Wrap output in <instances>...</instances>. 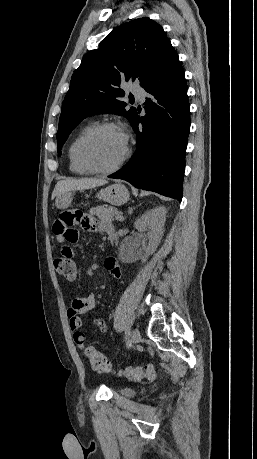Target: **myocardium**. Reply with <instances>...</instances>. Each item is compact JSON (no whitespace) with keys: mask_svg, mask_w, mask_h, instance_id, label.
Returning a JSON list of instances; mask_svg holds the SVG:
<instances>
[{"mask_svg":"<svg viewBox=\"0 0 257 459\" xmlns=\"http://www.w3.org/2000/svg\"><path fill=\"white\" fill-rule=\"evenodd\" d=\"M105 129H116L121 131V128L119 125L113 122H101L98 124H95L91 126L79 139L77 146H76V158L79 162V164L86 170L92 173H101V174H109L112 172L117 171L127 160V158L130 155V148L128 144H126L125 151L121 158L112 166L110 167H99L94 164H92L90 161H88L85 157L84 154V149L88 141L98 132L105 130Z\"/></svg>","mask_w":257,"mask_h":459,"instance_id":"1","label":"myocardium"}]
</instances>
